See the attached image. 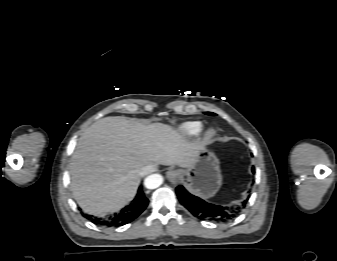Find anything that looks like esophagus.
<instances>
[{
    "label": "esophagus",
    "instance_id": "34e87169",
    "mask_svg": "<svg viewBox=\"0 0 337 261\" xmlns=\"http://www.w3.org/2000/svg\"><path fill=\"white\" fill-rule=\"evenodd\" d=\"M166 176H167L168 180L173 184L179 183V181L181 179V173L178 170H172L171 169L166 173Z\"/></svg>",
    "mask_w": 337,
    "mask_h": 261
}]
</instances>
